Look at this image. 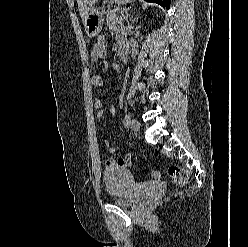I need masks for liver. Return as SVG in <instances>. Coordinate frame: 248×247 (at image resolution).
Masks as SVG:
<instances>
[{"mask_svg":"<svg viewBox=\"0 0 248 247\" xmlns=\"http://www.w3.org/2000/svg\"><path fill=\"white\" fill-rule=\"evenodd\" d=\"M98 1L99 0H77L78 9H79L82 21L84 20L89 8L93 7V5Z\"/></svg>","mask_w":248,"mask_h":247,"instance_id":"6515ba94","label":"liver"}]
</instances>
